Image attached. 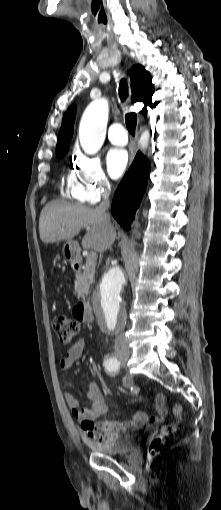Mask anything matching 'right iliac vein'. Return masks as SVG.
Here are the masks:
<instances>
[{
  "instance_id": "obj_1",
  "label": "right iliac vein",
  "mask_w": 221,
  "mask_h": 510,
  "mask_svg": "<svg viewBox=\"0 0 221 510\" xmlns=\"http://www.w3.org/2000/svg\"><path fill=\"white\" fill-rule=\"evenodd\" d=\"M120 361L126 360L128 358V354H121L118 356Z\"/></svg>"
}]
</instances>
